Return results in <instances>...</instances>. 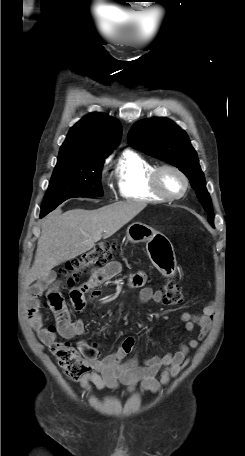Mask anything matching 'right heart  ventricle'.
Instances as JSON below:
<instances>
[{
	"instance_id": "obj_1",
	"label": "right heart ventricle",
	"mask_w": 245,
	"mask_h": 456,
	"mask_svg": "<svg viewBox=\"0 0 245 456\" xmlns=\"http://www.w3.org/2000/svg\"><path fill=\"white\" fill-rule=\"evenodd\" d=\"M155 165L133 151L119 158L114 176L119 195L129 201L157 202L163 199L154 194L148 183Z\"/></svg>"
}]
</instances>
